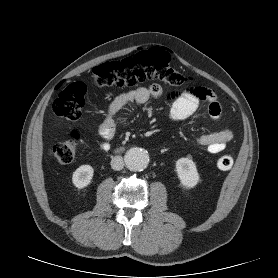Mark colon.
Returning a JSON list of instances; mask_svg holds the SVG:
<instances>
[{"label": "colon", "mask_w": 278, "mask_h": 278, "mask_svg": "<svg viewBox=\"0 0 278 278\" xmlns=\"http://www.w3.org/2000/svg\"><path fill=\"white\" fill-rule=\"evenodd\" d=\"M94 84L98 88L110 86L134 87L147 81H160L172 86H181L186 78L170 64V55L163 48L143 50L118 61L105 62L93 68ZM87 86L75 82L65 86L53 103L54 113L61 118L76 122L80 119L85 103ZM193 89V88H191ZM78 133L73 138L54 145L49 153L59 163L72 162L78 150ZM233 158L224 154L217 160L221 170H229Z\"/></svg>", "instance_id": "1"}]
</instances>
